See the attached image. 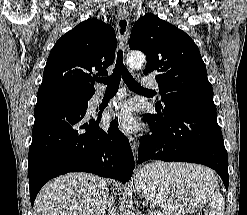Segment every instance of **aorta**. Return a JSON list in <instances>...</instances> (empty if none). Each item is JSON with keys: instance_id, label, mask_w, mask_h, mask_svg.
<instances>
[{"instance_id": "1", "label": "aorta", "mask_w": 247, "mask_h": 215, "mask_svg": "<svg viewBox=\"0 0 247 215\" xmlns=\"http://www.w3.org/2000/svg\"><path fill=\"white\" fill-rule=\"evenodd\" d=\"M145 60H146L145 55L141 52H131L127 56L128 65L134 69L141 68L145 63ZM125 215H135V214L132 212H126Z\"/></svg>"}]
</instances>
